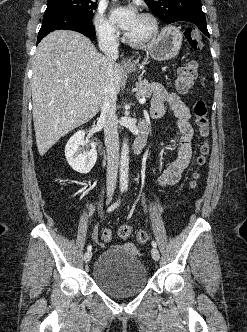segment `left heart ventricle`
I'll return each mask as SVG.
<instances>
[{"instance_id":"1","label":"left heart ventricle","mask_w":247,"mask_h":332,"mask_svg":"<svg viewBox=\"0 0 247 332\" xmlns=\"http://www.w3.org/2000/svg\"><path fill=\"white\" fill-rule=\"evenodd\" d=\"M150 29V23L141 16H138L134 26L127 32L132 38H140L148 33Z\"/></svg>"}]
</instances>
